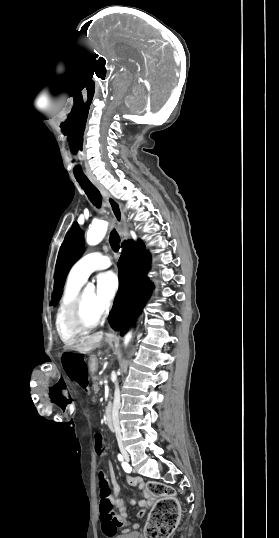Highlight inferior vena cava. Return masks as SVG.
Listing matches in <instances>:
<instances>
[{
  "label": "inferior vena cava",
  "instance_id": "inferior-vena-cava-1",
  "mask_svg": "<svg viewBox=\"0 0 279 538\" xmlns=\"http://www.w3.org/2000/svg\"><path fill=\"white\" fill-rule=\"evenodd\" d=\"M114 373V372H113ZM116 381V380H115ZM114 382V381H113ZM117 391L115 392V400H114V406H113V410H112V420H113V425L115 427V429H112L113 432H116V437H117V441H118V444H119V448L121 450V453H122V457L123 458H129L127 454H125L124 452V449L125 447H123V444H122V440L123 437L121 436L120 438V435H121V432H122V429H120L119 427V415H118V410H119V404H120V394H119V389L116 388Z\"/></svg>",
  "mask_w": 279,
  "mask_h": 538
}]
</instances>
